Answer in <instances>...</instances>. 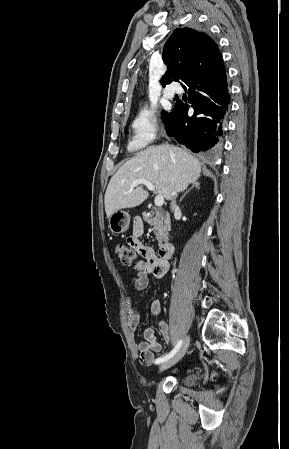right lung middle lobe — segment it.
<instances>
[{
    "label": "right lung middle lobe",
    "instance_id": "1",
    "mask_svg": "<svg viewBox=\"0 0 289 449\" xmlns=\"http://www.w3.org/2000/svg\"><path fill=\"white\" fill-rule=\"evenodd\" d=\"M170 116H171V112L170 113H167L165 111L162 112V119H163L165 125L168 124Z\"/></svg>",
    "mask_w": 289,
    "mask_h": 449
}]
</instances>
